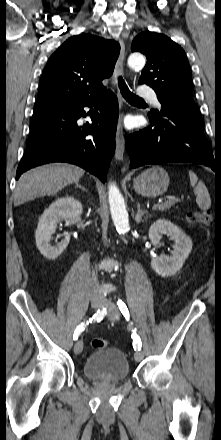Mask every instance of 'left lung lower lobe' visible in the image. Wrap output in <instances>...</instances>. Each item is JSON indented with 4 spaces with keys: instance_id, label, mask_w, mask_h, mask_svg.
<instances>
[{
    "instance_id": "obj_1",
    "label": "left lung lower lobe",
    "mask_w": 221,
    "mask_h": 440,
    "mask_svg": "<svg viewBox=\"0 0 221 440\" xmlns=\"http://www.w3.org/2000/svg\"><path fill=\"white\" fill-rule=\"evenodd\" d=\"M151 125L128 136L126 150L131 168L145 164L192 162L221 171L214 158L202 119L178 112L164 111L161 118L150 117Z\"/></svg>"
}]
</instances>
